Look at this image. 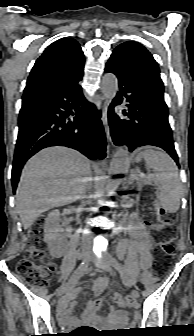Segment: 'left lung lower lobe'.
<instances>
[{"mask_svg":"<svg viewBox=\"0 0 194 336\" xmlns=\"http://www.w3.org/2000/svg\"><path fill=\"white\" fill-rule=\"evenodd\" d=\"M105 72L114 73L119 82V91L108 110L115 145H126L130 152L140 146H157L164 149L178 164L163 93L121 51H113ZM122 103L126 104L127 111H123L124 116H119L114 112V107Z\"/></svg>","mask_w":194,"mask_h":336,"instance_id":"left-lung-lower-lobe-1","label":"left lung lower lobe"}]
</instances>
